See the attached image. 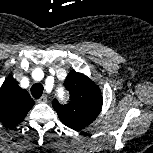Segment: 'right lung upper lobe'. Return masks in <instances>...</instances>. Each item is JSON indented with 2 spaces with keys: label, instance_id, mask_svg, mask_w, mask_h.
Instances as JSON below:
<instances>
[{
  "label": "right lung upper lobe",
  "instance_id": "right-lung-upper-lobe-1",
  "mask_svg": "<svg viewBox=\"0 0 153 153\" xmlns=\"http://www.w3.org/2000/svg\"><path fill=\"white\" fill-rule=\"evenodd\" d=\"M33 105L29 93L19 87L12 75L8 76L0 88V121L8 126L17 125Z\"/></svg>",
  "mask_w": 153,
  "mask_h": 153
}]
</instances>
